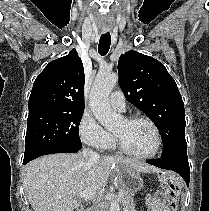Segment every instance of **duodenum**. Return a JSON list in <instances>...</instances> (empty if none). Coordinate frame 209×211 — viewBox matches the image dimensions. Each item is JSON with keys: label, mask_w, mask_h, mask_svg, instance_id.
<instances>
[{"label": "duodenum", "mask_w": 209, "mask_h": 211, "mask_svg": "<svg viewBox=\"0 0 209 211\" xmlns=\"http://www.w3.org/2000/svg\"><path fill=\"white\" fill-rule=\"evenodd\" d=\"M84 211H90L89 209H87V210H84Z\"/></svg>", "instance_id": "1"}]
</instances>
